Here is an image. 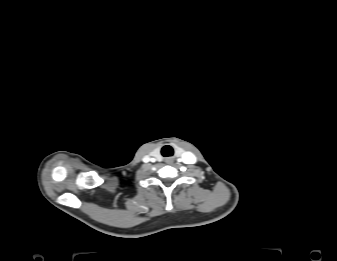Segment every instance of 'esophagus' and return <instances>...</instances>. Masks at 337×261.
<instances>
[{"label": "esophagus", "instance_id": "34e87169", "mask_svg": "<svg viewBox=\"0 0 337 261\" xmlns=\"http://www.w3.org/2000/svg\"><path fill=\"white\" fill-rule=\"evenodd\" d=\"M165 162L168 163V164L172 163V158H166Z\"/></svg>", "mask_w": 337, "mask_h": 261}]
</instances>
